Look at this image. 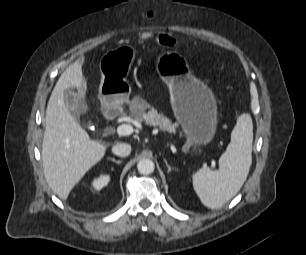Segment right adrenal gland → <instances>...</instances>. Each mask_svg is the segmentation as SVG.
Returning a JSON list of instances; mask_svg holds the SVG:
<instances>
[{
    "label": "right adrenal gland",
    "mask_w": 306,
    "mask_h": 255,
    "mask_svg": "<svg viewBox=\"0 0 306 255\" xmlns=\"http://www.w3.org/2000/svg\"><path fill=\"white\" fill-rule=\"evenodd\" d=\"M110 160L116 164H120L122 161L116 160L115 158H110Z\"/></svg>",
    "instance_id": "right-adrenal-gland-1"
}]
</instances>
